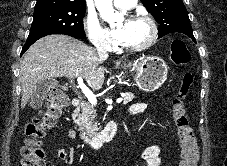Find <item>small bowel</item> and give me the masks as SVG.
Instances as JSON below:
<instances>
[{"instance_id":"small-bowel-1","label":"small bowel","mask_w":227,"mask_h":166,"mask_svg":"<svg viewBox=\"0 0 227 166\" xmlns=\"http://www.w3.org/2000/svg\"><path fill=\"white\" fill-rule=\"evenodd\" d=\"M146 105L143 103H136L133 104L130 107V113L131 114H138L145 111ZM69 138L74 137V133L72 131L68 134ZM160 149L157 145H152L148 147L145 152L142 155V163L140 166H160L161 161L159 157ZM57 155L60 160L64 161L65 163H72L75 155H76V149L72 147L70 150H67L65 148H59ZM55 166V165H52Z\"/></svg>"}]
</instances>
